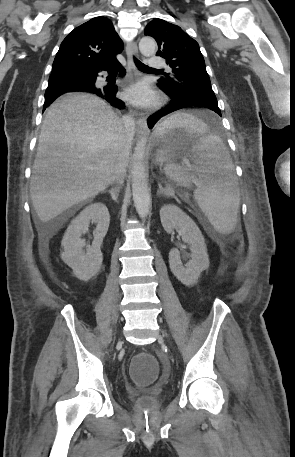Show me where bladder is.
<instances>
[{
	"label": "bladder",
	"instance_id": "obj_1",
	"mask_svg": "<svg viewBox=\"0 0 295 457\" xmlns=\"http://www.w3.org/2000/svg\"><path fill=\"white\" fill-rule=\"evenodd\" d=\"M157 358L159 361H166L168 358V355L166 352H159L157 355ZM165 365L167 366L168 364L166 363ZM165 372L167 374H170L172 372V369L170 367H167L165 369ZM159 381L161 383H167L169 381V376L165 375V374H161L159 376ZM161 400H162L161 396L145 394V395L140 396L137 399L135 407H136L137 411H156L157 406L160 404Z\"/></svg>",
	"mask_w": 295,
	"mask_h": 457
}]
</instances>
